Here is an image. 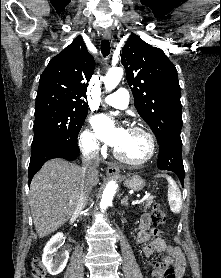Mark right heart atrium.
<instances>
[{
    "label": "right heart atrium",
    "mask_w": 221,
    "mask_h": 278,
    "mask_svg": "<svg viewBox=\"0 0 221 278\" xmlns=\"http://www.w3.org/2000/svg\"><path fill=\"white\" fill-rule=\"evenodd\" d=\"M79 146L81 151L87 155H97L102 149L96 134L89 128L81 133Z\"/></svg>",
    "instance_id": "1"
}]
</instances>
